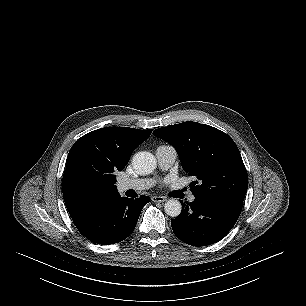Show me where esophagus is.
Instances as JSON below:
<instances>
[{"mask_svg": "<svg viewBox=\"0 0 306 306\" xmlns=\"http://www.w3.org/2000/svg\"><path fill=\"white\" fill-rule=\"evenodd\" d=\"M151 200L153 202H165L167 200V198L165 196H160V195H155V196H152Z\"/></svg>", "mask_w": 306, "mask_h": 306, "instance_id": "1", "label": "esophagus"}]
</instances>
